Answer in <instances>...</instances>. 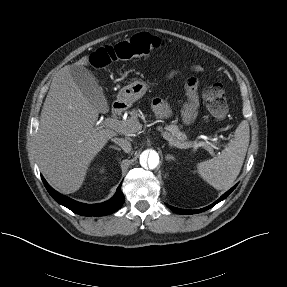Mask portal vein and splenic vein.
<instances>
[{
    "mask_svg": "<svg viewBox=\"0 0 287 287\" xmlns=\"http://www.w3.org/2000/svg\"><path fill=\"white\" fill-rule=\"evenodd\" d=\"M105 126L110 127L116 131H122L123 130V122L117 120V119H113V118H107L104 121ZM162 136L163 138H165L166 140L169 141L170 145H174L175 147L179 148V149H187V148H191V147H203L206 150L212 152L215 148V146L211 143V142H184V143H179V142H172V140L168 137L167 132H162Z\"/></svg>",
    "mask_w": 287,
    "mask_h": 287,
    "instance_id": "portal-vein-and-splenic-vein-1",
    "label": "portal vein and splenic vein"
}]
</instances>
